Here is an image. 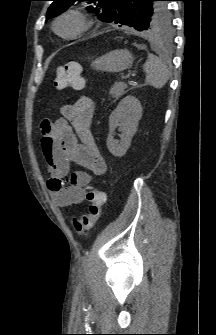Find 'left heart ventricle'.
I'll use <instances>...</instances> for the list:
<instances>
[{
    "instance_id": "obj_1",
    "label": "left heart ventricle",
    "mask_w": 216,
    "mask_h": 335,
    "mask_svg": "<svg viewBox=\"0 0 216 335\" xmlns=\"http://www.w3.org/2000/svg\"><path fill=\"white\" fill-rule=\"evenodd\" d=\"M78 28V23L72 18H66L62 20L58 25V30L62 34H70Z\"/></svg>"
}]
</instances>
